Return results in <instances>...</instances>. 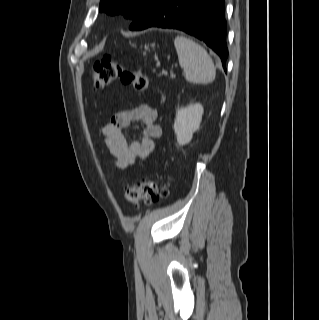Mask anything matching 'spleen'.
<instances>
[{"mask_svg":"<svg viewBox=\"0 0 319 320\" xmlns=\"http://www.w3.org/2000/svg\"><path fill=\"white\" fill-rule=\"evenodd\" d=\"M174 45L187 81L210 83L215 79L214 63L203 47L184 36H177Z\"/></svg>","mask_w":319,"mask_h":320,"instance_id":"obj_1","label":"spleen"}]
</instances>
